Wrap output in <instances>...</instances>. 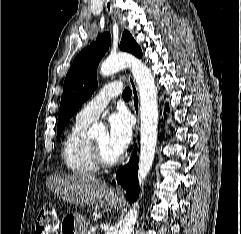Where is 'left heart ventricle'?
<instances>
[{
    "mask_svg": "<svg viewBox=\"0 0 241 234\" xmlns=\"http://www.w3.org/2000/svg\"><path fill=\"white\" fill-rule=\"evenodd\" d=\"M94 140L101 146L107 158L112 159L118 155L112 150L109 144V135L107 132L100 134Z\"/></svg>",
    "mask_w": 241,
    "mask_h": 234,
    "instance_id": "obj_1",
    "label": "left heart ventricle"
}]
</instances>
